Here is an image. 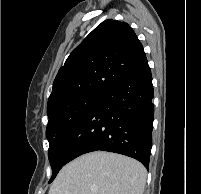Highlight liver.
Returning a JSON list of instances; mask_svg holds the SVG:
<instances>
[{"label":"liver","instance_id":"obj_1","mask_svg":"<svg viewBox=\"0 0 201 194\" xmlns=\"http://www.w3.org/2000/svg\"><path fill=\"white\" fill-rule=\"evenodd\" d=\"M146 169L135 159L103 151L65 165L48 194H143Z\"/></svg>","mask_w":201,"mask_h":194}]
</instances>
